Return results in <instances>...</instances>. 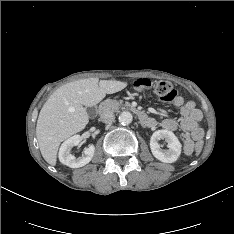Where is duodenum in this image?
Instances as JSON below:
<instances>
[{
	"label": "duodenum",
	"mask_w": 234,
	"mask_h": 234,
	"mask_svg": "<svg viewBox=\"0 0 234 234\" xmlns=\"http://www.w3.org/2000/svg\"><path fill=\"white\" fill-rule=\"evenodd\" d=\"M111 104L110 103H105L103 104L101 107H100V112L101 113H105L107 112L110 108H111ZM134 111L136 112L137 116H138V119L140 120V122L143 124V125H147L149 122H150V118L143 112L137 110V109H134Z\"/></svg>",
	"instance_id": "1"
}]
</instances>
